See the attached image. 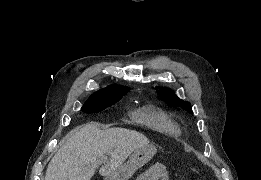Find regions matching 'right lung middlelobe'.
Listing matches in <instances>:
<instances>
[{
	"instance_id": "dd1d6c3e",
	"label": "right lung middle lobe",
	"mask_w": 261,
	"mask_h": 180,
	"mask_svg": "<svg viewBox=\"0 0 261 180\" xmlns=\"http://www.w3.org/2000/svg\"><path fill=\"white\" fill-rule=\"evenodd\" d=\"M120 97L110 98H90L82 107V111L86 113H95L104 110L106 107L113 105L121 99Z\"/></svg>"
}]
</instances>
